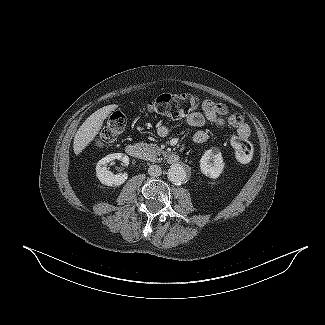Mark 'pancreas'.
I'll return each instance as SVG.
<instances>
[{
    "label": "pancreas",
    "mask_w": 325,
    "mask_h": 325,
    "mask_svg": "<svg viewBox=\"0 0 325 325\" xmlns=\"http://www.w3.org/2000/svg\"><path fill=\"white\" fill-rule=\"evenodd\" d=\"M144 150V158L151 162H160L162 158L158 156L163 155L164 157L167 156V153L163 151L159 146L156 144H141Z\"/></svg>",
    "instance_id": "cf45deb5"
}]
</instances>
